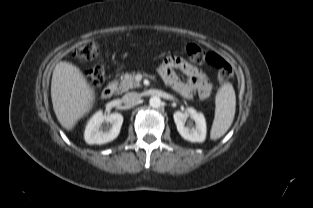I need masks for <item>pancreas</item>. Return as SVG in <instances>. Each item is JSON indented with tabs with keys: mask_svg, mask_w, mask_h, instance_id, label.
Wrapping results in <instances>:
<instances>
[{
	"mask_svg": "<svg viewBox=\"0 0 313 208\" xmlns=\"http://www.w3.org/2000/svg\"><path fill=\"white\" fill-rule=\"evenodd\" d=\"M137 87H140V83L135 81V73H125L121 78L117 93L121 94L128 91L129 89Z\"/></svg>",
	"mask_w": 313,
	"mask_h": 208,
	"instance_id": "1",
	"label": "pancreas"
}]
</instances>
